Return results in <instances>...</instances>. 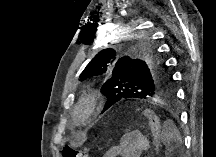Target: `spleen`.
<instances>
[{
  "instance_id": "1",
  "label": "spleen",
  "mask_w": 216,
  "mask_h": 157,
  "mask_svg": "<svg viewBox=\"0 0 216 157\" xmlns=\"http://www.w3.org/2000/svg\"><path fill=\"white\" fill-rule=\"evenodd\" d=\"M165 127L161 135V141L165 145L167 151H173L175 148L181 149L183 146L182 137L178 129L174 126L172 121L165 122Z\"/></svg>"
}]
</instances>
